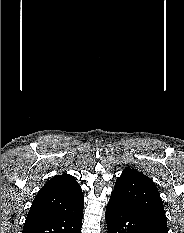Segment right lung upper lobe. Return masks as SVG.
Here are the masks:
<instances>
[{
    "instance_id": "cb5924a9",
    "label": "right lung upper lobe",
    "mask_w": 184,
    "mask_h": 233,
    "mask_svg": "<svg viewBox=\"0 0 184 233\" xmlns=\"http://www.w3.org/2000/svg\"><path fill=\"white\" fill-rule=\"evenodd\" d=\"M83 206L82 189L75 178L69 174L55 176L36 195L24 227L79 213Z\"/></svg>"
}]
</instances>
